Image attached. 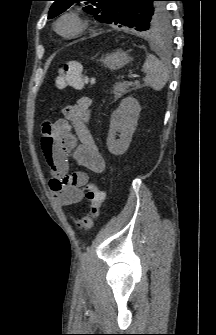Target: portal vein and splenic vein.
<instances>
[{"label":"portal vein and splenic vein","instance_id":"18ae733b","mask_svg":"<svg viewBox=\"0 0 216 335\" xmlns=\"http://www.w3.org/2000/svg\"><path fill=\"white\" fill-rule=\"evenodd\" d=\"M129 77H130V78H137L138 75H136V74H131Z\"/></svg>","mask_w":216,"mask_h":335}]
</instances>
